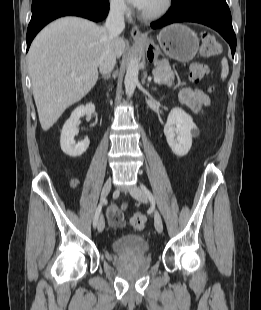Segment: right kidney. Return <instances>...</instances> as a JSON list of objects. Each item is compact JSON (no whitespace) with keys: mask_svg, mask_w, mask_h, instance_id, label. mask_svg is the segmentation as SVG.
I'll return each mask as SVG.
<instances>
[{"mask_svg":"<svg viewBox=\"0 0 261 310\" xmlns=\"http://www.w3.org/2000/svg\"><path fill=\"white\" fill-rule=\"evenodd\" d=\"M95 112V106L88 103L85 106L77 107L71 114L70 118L65 122L60 137V146L62 151L70 156H81L89 147L90 140L85 138L83 141L76 143L75 135L78 134L77 123L84 115H90Z\"/></svg>","mask_w":261,"mask_h":310,"instance_id":"ca27d5eb","label":"right kidney"}]
</instances>
